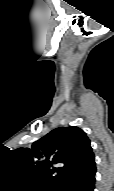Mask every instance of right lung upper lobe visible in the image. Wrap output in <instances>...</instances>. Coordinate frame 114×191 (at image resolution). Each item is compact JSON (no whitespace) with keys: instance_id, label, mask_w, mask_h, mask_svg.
Masks as SVG:
<instances>
[{"instance_id":"1","label":"right lung upper lobe","mask_w":114,"mask_h":191,"mask_svg":"<svg viewBox=\"0 0 114 191\" xmlns=\"http://www.w3.org/2000/svg\"><path fill=\"white\" fill-rule=\"evenodd\" d=\"M20 159L51 187L96 169L86 133L76 126L52 130L29 148L16 149Z\"/></svg>"}]
</instances>
